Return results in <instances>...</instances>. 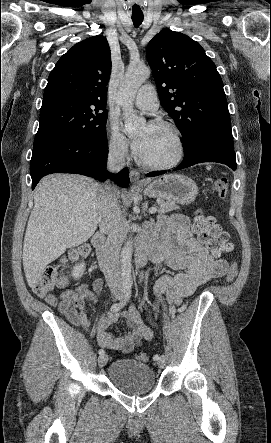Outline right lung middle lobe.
Listing matches in <instances>:
<instances>
[{
    "label": "right lung middle lobe",
    "mask_w": 271,
    "mask_h": 443,
    "mask_svg": "<svg viewBox=\"0 0 271 443\" xmlns=\"http://www.w3.org/2000/svg\"><path fill=\"white\" fill-rule=\"evenodd\" d=\"M105 106L72 99L42 103L35 142L47 136H67L90 141L103 136L106 129Z\"/></svg>",
    "instance_id": "right-lung-middle-lobe-1"
}]
</instances>
